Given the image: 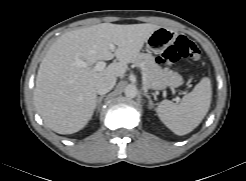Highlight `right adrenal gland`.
Listing matches in <instances>:
<instances>
[{
	"label": "right adrenal gland",
	"mask_w": 246,
	"mask_h": 181,
	"mask_svg": "<svg viewBox=\"0 0 246 181\" xmlns=\"http://www.w3.org/2000/svg\"><path fill=\"white\" fill-rule=\"evenodd\" d=\"M103 98H104V95H101L96 100V107H97L98 111H100V105H101V102H102Z\"/></svg>",
	"instance_id": "right-adrenal-gland-1"
}]
</instances>
